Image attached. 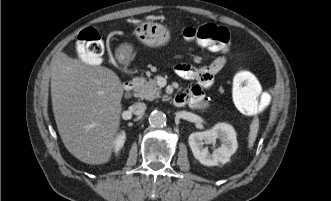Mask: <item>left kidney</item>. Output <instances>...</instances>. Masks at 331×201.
<instances>
[{"label": "left kidney", "mask_w": 331, "mask_h": 201, "mask_svg": "<svg viewBox=\"0 0 331 201\" xmlns=\"http://www.w3.org/2000/svg\"><path fill=\"white\" fill-rule=\"evenodd\" d=\"M220 139L221 145L209 152L208 144H215ZM194 157L205 166L225 164L237 150V139L234 128L227 123H218L203 132H194L188 138Z\"/></svg>", "instance_id": "5707ae66"}]
</instances>
